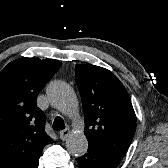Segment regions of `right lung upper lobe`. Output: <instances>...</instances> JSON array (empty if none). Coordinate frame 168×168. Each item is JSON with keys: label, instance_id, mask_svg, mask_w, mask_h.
I'll list each match as a JSON object with an SVG mask.
<instances>
[{"label": "right lung upper lobe", "instance_id": "cb5924a9", "mask_svg": "<svg viewBox=\"0 0 168 168\" xmlns=\"http://www.w3.org/2000/svg\"><path fill=\"white\" fill-rule=\"evenodd\" d=\"M61 64L21 58L0 72V168H37L43 147L53 142L36 98Z\"/></svg>", "mask_w": 168, "mask_h": 168}]
</instances>
